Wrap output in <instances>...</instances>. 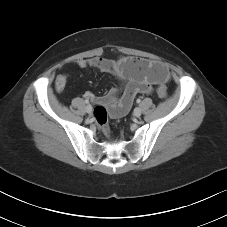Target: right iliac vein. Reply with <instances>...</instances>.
<instances>
[{
	"label": "right iliac vein",
	"instance_id": "right-iliac-vein-1",
	"mask_svg": "<svg viewBox=\"0 0 227 227\" xmlns=\"http://www.w3.org/2000/svg\"><path fill=\"white\" fill-rule=\"evenodd\" d=\"M86 112L89 113V114L92 113V107H91V105H87L86 106Z\"/></svg>",
	"mask_w": 227,
	"mask_h": 227
}]
</instances>
